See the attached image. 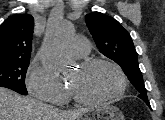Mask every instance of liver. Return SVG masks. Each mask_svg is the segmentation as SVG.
<instances>
[{
	"label": "liver",
	"instance_id": "obj_1",
	"mask_svg": "<svg viewBox=\"0 0 165 120\" xmlns=\"http://www.w3.org/2000/svg\"><path fill=\"white\" fill-rule=\"evenodd\" d=\"M87 109L60 111L36 99L0 87V120H79Z\"/></svg>",
	"mask_w": 165,
	"mask_h": 120
}]
</instances>
